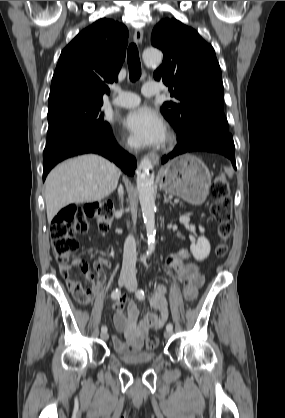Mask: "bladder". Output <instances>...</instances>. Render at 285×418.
Masks as SVG:
<instances>
[{"label": "bladder", "mask_w": 285, "mask_h": 418, "mask_svg": "<svg viewBox=\"0 0 285 418\" xmlns=\"http://www.w3.org/2000/svg\"><path fill=\"white\" fill-rule=\"evenodd\" d=\"M115 356L124 364L130 366H141L153 363L156 359V355L151 352H121L114 349Z\"/></svg>", "instance_id": "bladder-1"}]
</instances>
